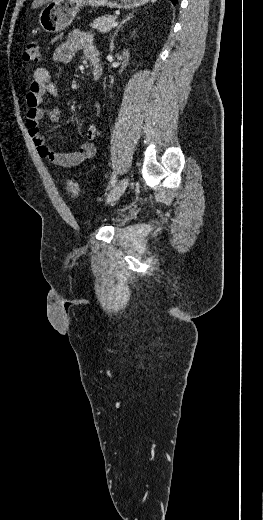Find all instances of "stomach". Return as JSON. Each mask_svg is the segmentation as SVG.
Here are the masks:
<instances>
[{"label":"stomach","instance_id":"obj_1","mask_svg":"<svg viewBox=\"0 0 263 520\" xmlns=\"http://www.w3.org/2000/svg\"><path fill=\"white\" fill-rule=\"evenodd\" d=\"M149 0H59L48 3L39 14V24L47 33H57L71 25L84 5L130 9Z\"/></svg>","mask_w":263,"mask_h":520}]
</instances>
